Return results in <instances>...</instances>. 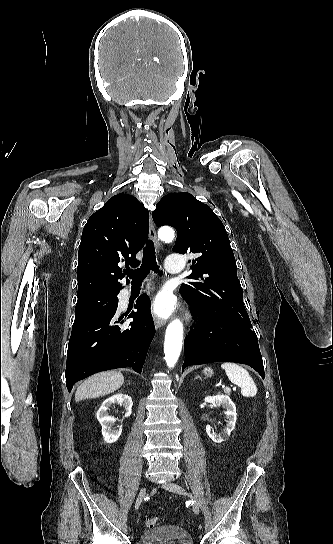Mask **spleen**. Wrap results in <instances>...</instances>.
I'll return each mask as SVG.
<instances>
[{
	"instance_id": "obj_1",
	"label": "spleen",
	"mask_w": 333,
	"mask_h": 544,
	"mask_svg": "<svg viewBox=\"0 0 333 544\" xmlns=\"http://www.w3.org/2000/svg\"><path fill=\"white\" fill-rule=\"evenodd\" d=\"M228 379L241 387V394L244 397H253L257 394V387L248 371L236 363L225 362L221 365Z\"/></svg>"
}]
</instances>
